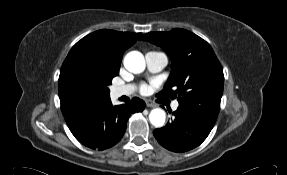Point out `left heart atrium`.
I'll return each instance as SVG.
<instances>
[{"label":"left heart atrium","mask_w":287,"mask_h":175,"mask_svg":"<svg viewBox=\"0 0 287 175\" xmlns=\"http://www.w3.org/2000/svg\"><path fill=\"white\" fill-rule=\"evenodd\" d=\"M150 90V87L148 85H143L141 88L142 93H148Z\"/></svg>","instance_id":"left-heart-atrium-1"}]
</instances>
